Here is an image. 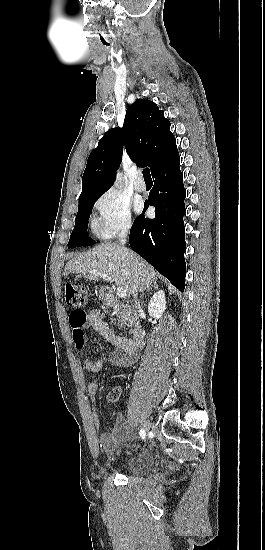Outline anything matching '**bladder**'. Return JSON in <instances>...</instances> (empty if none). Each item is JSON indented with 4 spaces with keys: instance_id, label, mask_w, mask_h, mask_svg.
Returning <instances> with one entry per match:
<instances>
[{
    "instance_id": "31cf9c89",
    "label": "bladder",
    "mask_w": 265,
    "mask_h": 550,
    "mask_svg": "<svg viewBox=\"0 0 265 550\" xmlns=\"http://www.w3.org/2000/svg\"><path fill=\"white\" fill-rule=\"evenodd\" d=\"M123 465L125 469L133 474H145L150 472L154 467V459L147 449L140 452H132L121 450Z\"/></svg>"
}]
</instances>
